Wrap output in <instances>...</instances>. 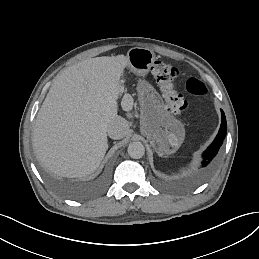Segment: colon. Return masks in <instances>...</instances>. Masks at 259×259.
Listing matches in <instances>:
<instances>
[{
    "label": "colon",
    "mask_w": 259,
    "mask_h": 259,
    "mask_svg": "<svg viewBox=\"0 0 259 259\" xmlns=\"http://www.w3.org/2000/svg\"><path fill=\"white\" fill-rule=\"evenodd\" d=\"M151 73L162 92L168 111L175 116L182 114L188 108V102L176 85L177 68L170 63L156 61ZM184 88L189 95L197 98L207 94L205 84L195 77L187 79Z\"/></svg>",
    "instance_id": "obj_1"
}]
</instances>
